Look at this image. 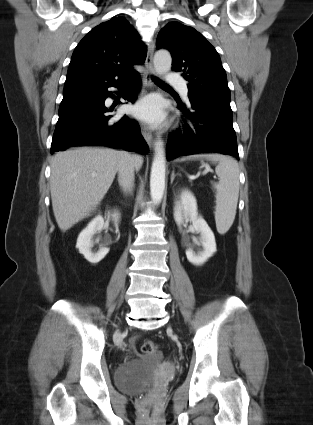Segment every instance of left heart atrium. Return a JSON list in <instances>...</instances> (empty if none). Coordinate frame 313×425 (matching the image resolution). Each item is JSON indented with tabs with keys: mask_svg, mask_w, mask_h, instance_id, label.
I'll list each match as a JSON object with an SVG mask.
<instances>
[{
	"mask_svg": "<svg viewBox=\"0 0 313 425\" xmlns=\"http://www.w3.org/2000/svg\"><path fill=\"white\" fill-rule=\"evenodd\" d=\"M133 113L138 118L149 123H157L163 116L160 101L153 96L137 103L133 108Z\"/></svg>",
	"mask_w": 313,
	"mask_h": 425,
	"instance_id": "1",
	"label": "left heart atrium"
}]
</instances>
